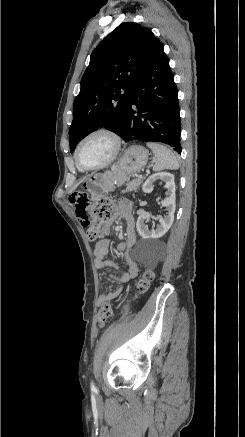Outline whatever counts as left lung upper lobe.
Instances as JSON below:
<instances>
[{
  "label": "left lung upper lobe",
  "mask_w": 245,
  "mask_h": 437,
  "mask_svg": "<svg viewBox=\"0 0 245 437\" xmlns=\"http://www.w3.org/2000/svg\"><path fill=\"white\" fill-rule=\"evenodd\" d=\"M158 44L150 29L124 22L93 50L74 101L70 152L101 127L123 136L131 89Z\"/></svg>",
  "instance_id": "5c2ea615"
}]
</instances>
